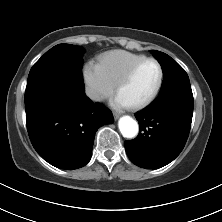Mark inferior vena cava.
<instances>
[{"instance_id":"obj_1","label":"inferior vena cava","mask_w":222,"mask_h":222,"mask_svg":"<svg viewBox=\"0 0 222 222\" xmlns=\"http://www.w3.org/2000/svg\"><path fill=\"white\" fill-rule=\"evenodd\" d=\"M86 95L92 100H100V94L92 88H86Z\"/></svg>"}]
</instances>
